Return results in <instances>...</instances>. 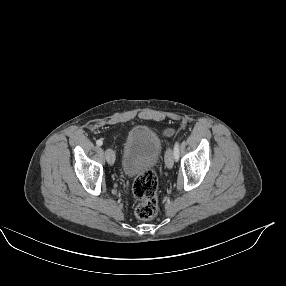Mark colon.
I'll return each mask as SVG.
<instances>
[{
    "mask_svg": "<svg viewBox=\"0 0 286 286\" xmlns=\"http://www.w3.org/2000/svg\"><path fill=\"white\" fill-rule=\"evenodd\" d=\"M158 178L153 171L139 175L133 183V194L139 203L135 207V215L141 220H149L158 212L157 200Z\"/></svg>",
    "mask_w": 286,
    "mask_h": 286,
    "instance_id": "5ec220e1",
    "label": "colon"
}]
</instances>
